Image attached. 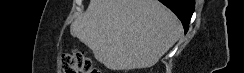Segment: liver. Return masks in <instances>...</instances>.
Listing matches in <instances>:
<instances>
[{
	"instance_id": "6515ba94",
	"label": "liver",
	"mask_w": 244,
	"mask_h": 73,
	"mask_svg": "<svg viewBox=\"0 0 244 73\" xmlns=\"http://www.w3.org/2000/svg\"><path fill=\"white\" fill-rule=\"evenodd\" d=\"M178 18L158 0H90L70 33L108 69L147 68L182 34Z\"/></svg>"
}]
</instances>
